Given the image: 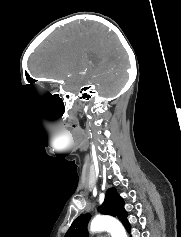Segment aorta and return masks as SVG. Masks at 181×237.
<instances>
[{"instance_id":"aorta-1","label":"aorta","mask_w":181,"mask_h":237,"mask_svg":"<svg viewBox=\"0 0 181 237\" xmlns=\"http://www.w3.org/2000/svg\"><path fill=\"white\" fill-rule=\"evenodd\" d=\"M91 232L108 231L112 237H127L126 231L122 224L111 216H97L90 226Z\"/></svg>"}]
</instances>
